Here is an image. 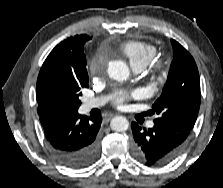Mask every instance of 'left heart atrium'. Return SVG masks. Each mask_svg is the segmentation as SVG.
<instances>
[{"label":"left heart atrium","mask_w":223,"mask_h":188,"mask_svg":"<svg viewBox=\"0 0 223 188\" xmlns=\"http://www.w3.org/2000/svg\"><path fill=\"white\" fill-rule=\"evenodd\" d=\"M126 97H120L116 100L115 104L117 107L122 108L125 105Z\"/></svg>","instance_id":"1"}]
</instances>
